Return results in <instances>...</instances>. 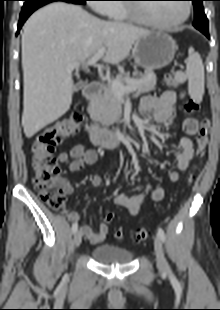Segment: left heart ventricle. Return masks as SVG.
Listing matches in <instances>:
<instances>
[{"instance_id":"b2bd125f","label":"left heart ventricle","mask_w":220,"mask_h":310,"mask_svg":"<svg viewBox=\"0 0 220 310\" xmlns=\"http://www.w3.org/2000/svg\"><path fill=\"white\" fill-rule=\"evenodd\" d=\"M145 15L159 21L171 23L181 18L185 13L184 3H160L141 8Z\"/></svg>"}]
</instances>
